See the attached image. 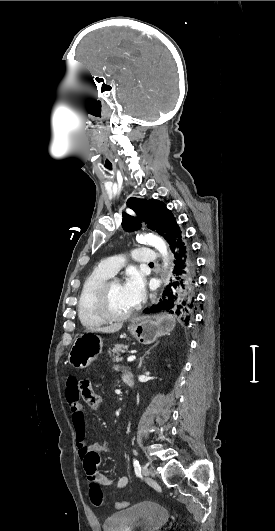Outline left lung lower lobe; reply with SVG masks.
<instances>
[{
	"mask_svg": "<svg viewBox=\"0 0 275 531\" xmlns=\"http://www.w3.org/2000/svg\"><path fill=\"white\" fill-rule=\"evenodd\" d=\"M167 242L174 255V278L170 280L159 302L144 312L175 314L189 324L195 301V257L178 224L170 230Z\"/></svg>",
	"mask_w": 275,
	"mask_h": 531,
	"instance_id": "0a47b994",
	"label": "left lung lower lobe"
}]
</instances>
